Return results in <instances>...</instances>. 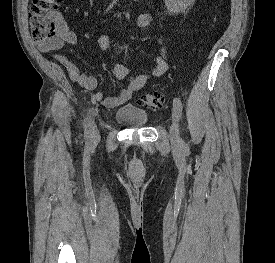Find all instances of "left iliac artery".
Returning <instances> with one entry per match:
<instances>
[{"instance_id": "left-iliac-artery-1", "label": "left iliac artery", "mask_w": 275, "mask_h": 263, "mask_svg": "<svg viewBox=\"0 0 275 263\" xmlns=\"http://www.w3.org/2000/svg\"><path fill=\"white\" fill-rule=\"evenodd\" d=\"M173 107H174V110L177 112L179 119H181L182 118L183 105H182V102L179 98H175L173 100ZM181 142H183V141H181Z\"/></svg>"}]
</instances>
